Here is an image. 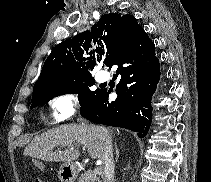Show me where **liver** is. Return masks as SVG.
Listing matches in <instances>:
<instances>
[{
	"label": "liver",
	"mask_w": 211,
	"mask_h": 182,
	"mask_svg": "<svg viewBox=\"0 0 211 182\" xmlns=\"http://www.w3.org/2000/svg\"><path fill=\"white\" fill-rule=\"evenodd\" d=\"M102 130H106L112 141L109 129L95 125H62L35 137L25 148L24 155L51 162L71 163L79 158V150L71 149L84 145L91 158L102 160ZM55 147L59 150L53 151ZM65 148V150H60ZM68 148V149H66Z\"/></svg>",
	"instance_id": "6515ba94"
}]
</instances>
